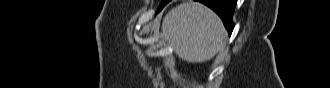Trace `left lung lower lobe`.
Here are the masks:
<instances>
[{"mask_svg":"<svg viewBox=\"0 0 330 88\" xmlns=\"http://www.w3.org/2000/svg\"><path fill=\"white\" fill-rule=\"evenodd\" d=\"M171 0H162L159 8L156 13H159L163 7L169 3ZM201 2L211 8L218 16L222 19L225 28L228 31L229 36L231 35L234 23L232 21L234 9L237 3V0H196Z\"/></svg>","mask_w":330,"mask_h":88,"instance_id":"left-lung-lower-lobe-1","label":"left lung lower lobe"}]
</instances>
